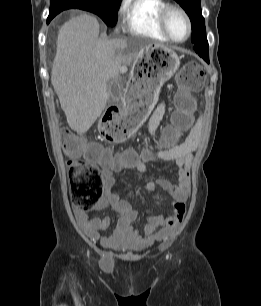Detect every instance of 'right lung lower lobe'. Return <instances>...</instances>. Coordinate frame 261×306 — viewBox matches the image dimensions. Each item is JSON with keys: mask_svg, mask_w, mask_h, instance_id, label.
I'll return each mask as SVG.
<instances>
[{"mask_svg": "<svg viewBox=\"0 0 261 306\" xmlns=\"http://www.w3.org/2000/svg\"><path fill=\"white\" fill-rule=\"evenodd\" d=\"M52 18H54V17L48 16L47 23H49L52 20Z\"/></svg>", "mask_w": 261, "mask_h": 306, "instance_id": "obj_1", "label": "right lung lower lobe"}]
</instances>
